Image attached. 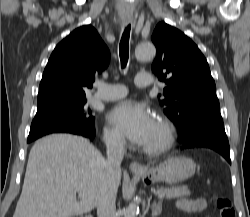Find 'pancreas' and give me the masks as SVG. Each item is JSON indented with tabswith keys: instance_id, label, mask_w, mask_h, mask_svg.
<instances>
[{
	"instance_id": "1",
	"label": "pancreas",
	"mask_w": 250,
	"mask_h": 217,
	"mask_svg": "<svg viewBox=\"0 0 250 217\" xmlns=\"http://www.w3.org/2000/svg\"><path fill=\"white\" fill-rule=\"evenodd\" d=\"M156 193H164L168 199H175L180 197L189 196L191 191L186 186L178 187H158Z\"/></svg>"
}]
</instances>
